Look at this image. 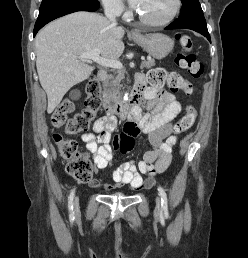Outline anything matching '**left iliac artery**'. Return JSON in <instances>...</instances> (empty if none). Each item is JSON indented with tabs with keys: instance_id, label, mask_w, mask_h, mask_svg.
I'll list each match as a JSON object with an SVG mask.
<instances>
[{
	"instance_id": "44dca946",
	"label": "left iliac artery",
	"mask_w": 248,
	"mask_h": 258,
	"mask_svg": "<svg viewBox=\"0 0 248 258\" xmlns=\"http://www.w3.org/2000/svg\"><path fill=\"white\" fill-rule=\"evenodd\" d=\"M158 191H159V194L161 196L162 210L164 211V213H167L168 212V201H167L166 192L161 186L158 187Z\"/></svg>"
}]
</instances>
